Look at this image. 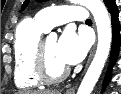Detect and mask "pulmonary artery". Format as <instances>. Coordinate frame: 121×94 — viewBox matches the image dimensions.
<instances>
[{"label": "pulmonary artery", "instance_id": "obj_1", "mask_svg": "<svg viewBox=\"0 0 121 94\" xmlns=\"http://www.w3.org/2000/svg\"><path fill=\"white\" fill-rule=\"evenodd\" d=\"M87 17L86 9L73 5L48 7L35 15L36 20L47 30L70 21L83 22Z\"/></svg>", "mask_w": 121, "mask_h": 94}]
</instances>
